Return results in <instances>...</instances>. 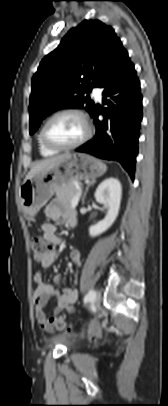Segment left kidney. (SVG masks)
Listing matches in <instances>:
<instances>
[{
	"mask_svg": "<svg viewBox=\"0 0 168 406\" xmlns=\"http://www.w3.org/2000/svg\"><path fill=\"white\" fill-rule=\"evenodd\" d=\"M121 183L116 178H107L99 184L95 191V199L98 203L108 208L105 218L89 227L91 237L98 236L109 229L116 220L121 203Z\"/></svg>",
	"mask_w": 168,
	"mask_h": 406,
	"instance_id": "left-kidney-1",
	"label": "left kidney"
}]
</instances>
